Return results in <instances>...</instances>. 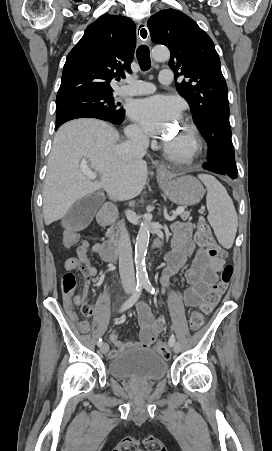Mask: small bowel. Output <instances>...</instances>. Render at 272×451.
Wrapping results in <instances>:
<instances>
[{
	"label": "small bowel",
	"instance_id": "c3829d8e",
	"mask_svg": "<svg viewBox=\"0 0 272 451\" xmlns=\"http://www.w3.org/2000/svg\"><path fill=\"white\" fill-rule=\"evenodd\" d=\"M172 252L165 257V263L160 276V284L163 290L168 287L169 279L177 272H183L187 283V288L183 294V302L186 307H196L200 300L205 295L209 286L217 280V273L223 268L225 261L209 260L208 251L204 248L196 250V245L192 239L193 227L189 222H176L172 225ZM99 246L94 247L98 251ZM90 244L87 241L82 242L77 247V255L83 254L88 256ZM194 256L191 265H188V259ZM83 275V295H88L90 280L98 275L96 274H82ZM68 300H64V304L68 314L72 320H77L78 315L73 309H68ZM79 303V299H77ZM139 324L141 326L140 338L134 342L131 340L121 341L116 331L110 335L114 349H112L108 357L116 358L120 353L126 349L138 346L147 348L151 346L163 331L165 320L163 316L153 320L150 311L146 304L141 303L137 307ZM85 316H91L92 313H83ZM77 315V316H76ZM75 318V319H74Z\"/></svg>",
	"mask_w": 272,
	"mask_h": 451
}]
</instances>
